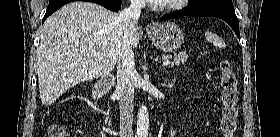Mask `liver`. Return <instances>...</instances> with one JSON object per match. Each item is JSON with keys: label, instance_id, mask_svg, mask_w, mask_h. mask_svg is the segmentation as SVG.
<instances>
[{"label": "liver", "instance_id": "6515ba94", "mask_svg": "<svg viewBox=\"0 0 280 137\" xmlns=\"http://www.w3.org/2000/svg\"><path fill=\"white\" fill-rule=\"evenodd\" d=\"M136 26L129 36L139 42ZM123 23L119 14L90 2H72L43 24L37 50L41 102L51 105L69 88L108 75L119 59Z\"/></svg>", "mask_w": 280, "mask_h": 137}]
</instances>
